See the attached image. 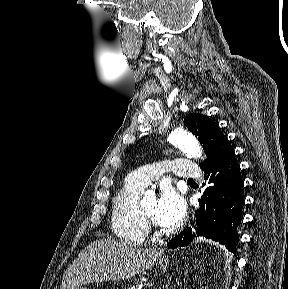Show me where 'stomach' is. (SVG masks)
<instances>
[{
	"label": "stomach",
	"instance_id": "stomach-1",
	"mask_svg": "<svg viewBox=\"0 0 288 289\" xmlns=\"http://www.w3.org/2000/svg\"><path fill=\"white\" fill-rule=\"evenodd\" d=\"M159 267L161 270H166L169 265V259L168 258H161L159 263ZM77 289H88L86 286H80Z\"/></svg>",
	"mask_w": 288,
	"mask_h": 289
}]
</instances>
